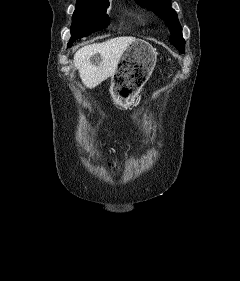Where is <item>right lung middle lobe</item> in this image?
I'll list each match as a JSON object with an SVG mask.
<instances>
[{"label":"right lung middle lobe","instance_id":"right-lung-middle-lobe-1","mask_svg":"<svg viewBox=\"0 0 240 281\" xmlns=\"http://www.w3.org/2000/svg\"><path fill=\"white\" fill-rule=\"evenodd\" d=\"M109 0H77L72 16L71 40L87 36L108 26L109 17L106 10Z\"/></svg>","mask_w":240,"mask_h":281}]
</instances>
